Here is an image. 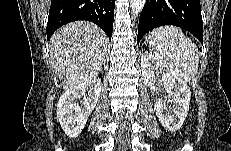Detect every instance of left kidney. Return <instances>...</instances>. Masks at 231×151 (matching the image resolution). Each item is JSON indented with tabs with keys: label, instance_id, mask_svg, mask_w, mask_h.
Segmentation results:
<instances>
[{
	"label": "left kidney",
	"instance_id": "1",
	"mask_svg": "<svg viewBox=\"0 0 231 151\" xmlns=\"http://www.w3.org/2000/svg\"><path fill=\"white\" fill-rule=\"evenodd\" d=\"M141 70L146 86L156 89L159 82L169 93L168 98H159L154 105L158 120L168 131L180 129L187 116L191 98L186 81L169 64L148 52L141 55Z\"/></svg>",
	"mask_w": 231,
	"mask_h": 151
}]
</instances>
